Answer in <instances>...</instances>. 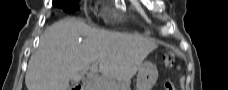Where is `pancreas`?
<instances>
[{
    "mask_svg": "<svg viewBox=\"0 0 228 90\" xmlns=\"http://www.w3.org/2000/svg\"><path fill=\"white\" fill-rule=\"evenodd\" d=\"M112 87L114 90H130L129 83H116V82H109L108 80L100 77L94 79L89 85L88 88L90 90H97L100 88H107Z\"/></svg>",
    "mask_w": 228,
    "mask_h": 90,
    "instance_id": "cf45deb5",
    "label": "pancreas"
}]
</instances>
